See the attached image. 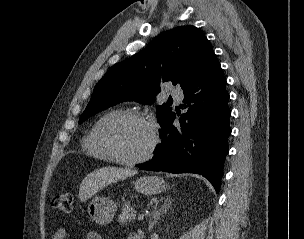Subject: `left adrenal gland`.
Masks as SVG:
<instances>
[{"label": "left adrenal gland", "instance_id": "1", "mask_svg": "<svg viewBox=\"0 0 304 239\" xmlns=\"http://www.w3.org/2000/svg\"><path fill=\"white\" fill-rule=\"evenodd\" d=\"M163 205L161 206V208L158 210V204L160 202H163ZM172 201L170 199V197H162L159 201H157L154 205V209L152 212V218H150L149 221V230H152L154 225L158 222V220L160 219V216L165 213L167 211V209L169 208V206L171 205Z\"/></svg>", "mask_w": 304, "mask_h": 239}]
</instances>
